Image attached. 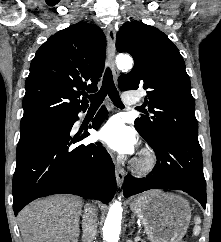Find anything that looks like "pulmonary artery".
<instances>
[{
    "label": "pulmonary artery",
    "mask_w": 221,
    "mask_h": 242,
    "mask_svg": "<svg viewBox=\"0 0 221 242\" xmlns=\"http://www.w3.org/2000/svg\"><path fill=\"white\" fill-rule=\"evenodd\" d=\"M123 101L128 105H134L137 103L136 99L133 98V92L124 93Z\"/></svg>",
    "instance_id": "pulmonary-artery-1"
}]
</instances>
